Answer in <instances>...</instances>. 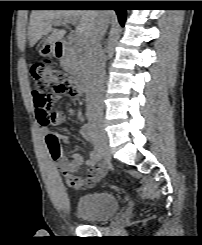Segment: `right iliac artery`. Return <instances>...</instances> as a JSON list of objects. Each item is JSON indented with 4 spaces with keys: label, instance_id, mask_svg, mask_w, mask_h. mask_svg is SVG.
<instances>
[{
    "label": "right iliac artery",
    "instance_id": "1",
    "mask_svg": "<svg viewBox=\"0 0 202 245\" xmlns=\"http://www.w3.org/2000/svg\"><path fill=\"white\" fill-rule=\"evenodd\" d=\"M83 128L88 133L91 140L94 142L95 149L97 152V159L100 160L104 156V150H103V145L101 144V142L98 139V136H97L95 129L93 128V126L90 123H85L83 125Z\"/></svg>",
    "mask_w": 202,
    "mask_h": 245
}]
</instances>
